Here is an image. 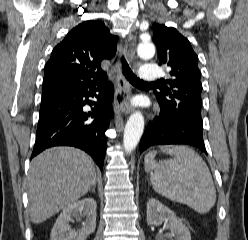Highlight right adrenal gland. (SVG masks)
Returning a JSON list of instances; mask_svg holds the SVG:
<instances>
[{
  "mask_svg": "<svg viewBox=\"0 0 248 240\" xmlns=\"http://www.w3.org/2000/svg\"><path fill=\"white\" fill-rule=\"evenodd\" d=\"M95 189H96V182L93 184L92 189L90 191H92L93 193H95Z\"/></svg>",
  "mask_w": 248,
  "mask_h": 240,
  "instance_id": "right-adrenal-gland-1",
  "label": "right adrenal gland"
}]
</instances>
